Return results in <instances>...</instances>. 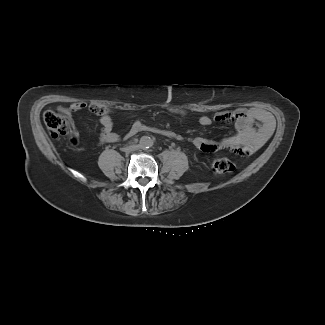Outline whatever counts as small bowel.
<instances>
[{
    "instance_id": "obj_1",
    "label": "small bowel",
    "mask_w": 325,
    "mask_h": 325,
    "mask_svg": "<svg viewBox=\"0 0 325 325\" xmlns=\"http://www.w3.org/2000/svg\"><path fill=\"white\" fill-rule=\"evenodd\" d=\"M88 105L84 102H76L61 110L70 118L79 111L87 109ZM90 110L99 117L102 127L98 138V144L117 143L121 141V136L114 131V123L110 115V108L102 105H92ZM169 111L178 116H185L186 111L172 107ZM213 121L233 122L235 133L220 140H212L205 137L187 138L180 134L170 132L167 136L177 141L189 142L203 152L231 151L240 155H247L257 151L270 138L274 129V119L272 115L260 108L234 109L216 114L214 117L202 115L198 119L201 126H209ZM260 124L257 128L255 124ZM146 130L144 124L135 121L124 135V139H131L140 132ZM76 143V137L73 138Z\"/></svg>"
}]
</instances>
